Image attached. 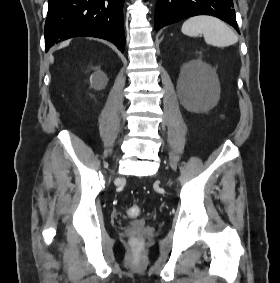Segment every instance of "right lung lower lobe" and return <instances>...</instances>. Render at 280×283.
Returning a JSON list of instances; mask_svg holds the SVG:
<instances>
[{"label": "right lung lower lobe", "instance_id": "obj_1", "mask_svg": "<svg viewBox=\"0 0 280 283\" xmlns=\"http://www.w3.org/2000/svg\"><path fill=\"white\" fill-rule=\"evenodd\" d=\"M123 5L124 0H49L46 51L62 40L91 36L113 42L123 53Z\"/></svg>", "mask_w": 280, "mask_h": 283}]
</instances>
